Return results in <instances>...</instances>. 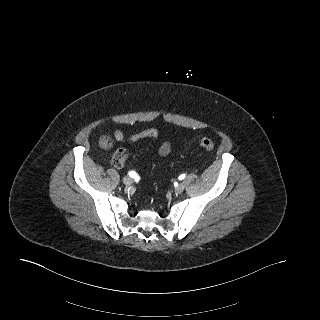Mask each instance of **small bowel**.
Listing matches in <instances>:
<instances>
[{
  "instance_id": "obj_1",
  "label": "small bowel",
  "mask_w": 320,
  "mask_h": 320,
  "mask_svg": "<svg viewBox=\"0 0 320 320\" xmlns=\"http://www.w3.org/2000/svg\"><path fill=\"white\" fill-rule=\"evenodd\" d=\"M158 136V131L154 128H147L132 135L126 136L123 131L116 129L114 131V138L118 142H136L140 139L151 138L155 139ZM172 145L170 142H163L159 148L158 153L161 156H167L171 152Z\"/></svg>"
}]
</instances>
